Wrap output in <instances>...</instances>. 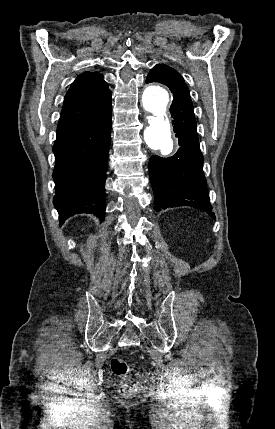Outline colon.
I'll return each mask as SVG.
<instances>
[{"label":"colon","instance_id":"obj_1","mask_svg":"<svg viewBox=\"0 0 275 429\" xmlns=\"http://www.w3.org/2000/svg\"><path fill=\"white\" fill-rule=\"evenodd\" d=\"M111 370L115 375L124 378L121 393L127 397L133 396L136 392V384L128 379L131 372L130 365L123 359L116 357L111 360Z\"/></svg>","mask_w":275,"mask_h":429}]
</instances>
